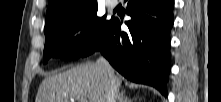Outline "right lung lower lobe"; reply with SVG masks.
<instances>
[{"label":"right lung lower lobe","instance_id":"1","mask_svg":"<svg viewBox=\"0 0 221 102\" xmlns=\"http://www.w3.org/2000/svg\"><path fill=\"white\" fill-rule=\"evenodd\" d=\"M173 7V0H127L129 31H121L119 19L112 18L81 57L100 51L128 80L154 86L166 96Z\"/></svg>","mask_w":221,"mask_h":102}]
</instances>
